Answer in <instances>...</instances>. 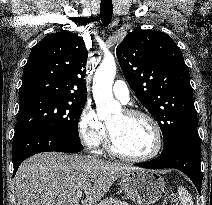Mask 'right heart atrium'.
Masks as SVG:
<instances>
[{"instance_id": "obj_1", "label": "right heart atrium", "mask_w": 212, "mask_h": 205, "mask_svg": "<svg viewBox=\"0 0 212 205\" xmlns=\"http://www.w3.org/2000/svg\"><path fill=\"white\" fill-rule=\"evenodd\" d=\"M77 130L80 141L92 151H98L106 139V128L90 106L83 108Z\"/></svg>"}]
</instances>
